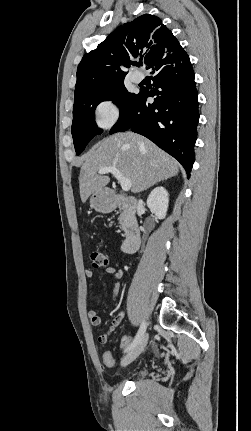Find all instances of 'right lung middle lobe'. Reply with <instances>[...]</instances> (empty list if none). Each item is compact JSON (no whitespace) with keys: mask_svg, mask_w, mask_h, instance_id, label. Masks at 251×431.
I'll return each mask as SVG.
<instances>
[{"mask_svg":"<svg viewBox=\"0 0 251 431\" xmlns=\"http://www.w3.org/2000/svg\"><path fill=\"white\" fill-rule=\"evenodd\" d=\"M136 94L129 93L124 80L101 89L89 91L74 97L72 136L77 155L81 154L88 142L101 133L95 123V108L102 101H113L120 113Z\"/></svg>","mask_w":251,"mask_h":431,"instance_id":"dd1d6c3e","label":"right lung middle lobe"}]
</instances>
